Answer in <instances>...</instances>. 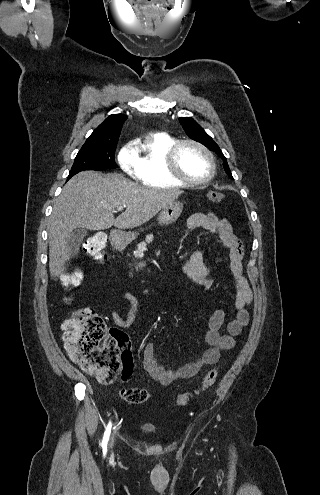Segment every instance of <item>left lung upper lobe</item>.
Returning a JSON list of instances; mask_svg holds the SVG:
<instances>
[{"label": "left lung upper lobe", "mask_w": 320, "mask_h": 495, "mask_svg": "<svg viewBox=\"0 0 320 495\" xmlns=\"http://www.w3.org/2000/svg\"><path fill=\"white\" fill-rule=\"evenodd\" d=\"M180 123L182 124L186 134L188 137L191 139L200 142L204 146H206L208 149L215 151L219 157H221L224 160L223 166L225 172L228 174L229 177L233 179V176L231 174V171L229 169V166L227 164L226 157L223 155L222 151L220 150L219 146L215 143V141L204 131V129L191 117H181Z\"/></svg>", "instance_id": "5c2ea615"}]
</instances>
